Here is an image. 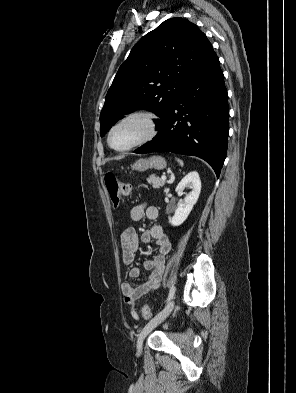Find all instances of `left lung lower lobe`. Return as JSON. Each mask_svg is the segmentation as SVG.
<instances>
[{
    "label": "left lung lower lobe",
    "mask_w": 296,
    "mask_h": 393,
    "mask_svg": "<svg viewBox=\"0 0 296 393\" xmlns=\"http://www.w3.org/2000/svg\"><path fill=\"white\" fill-rule=\"evenodd\" d=\"M228 118L224 76L213 52L176 98L158 134L134 152L197 156L219 177L227 152Z\"/></svg>",
    "instance_id": "left-lung-lower-lobe-1"
}]
</instances>
